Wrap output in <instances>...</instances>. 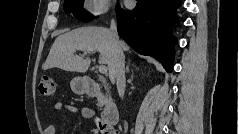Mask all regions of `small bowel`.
<instances>
[{
  "label": "small bowel",
  "instance_id": "c3829d8e",
  "mask_svg": "<svg viewBox=\"0 0 239 134\" xmlns=\"http://www.w3.org/2000/svg\"><path fill=\"white\" fill-rule=\"evenodd\" d=\"M54 109L58 113L62 112H77L78 108L73 105H68L64 102L58 101L54 105ZM81 116L85 119H91L94 116V111L89 106H84L80 109ZM45 134H57L55 125H49L45 128Z\"/></svg>",
  "mask_w": 239,
  "mask_h": 134
}]
</instances>
